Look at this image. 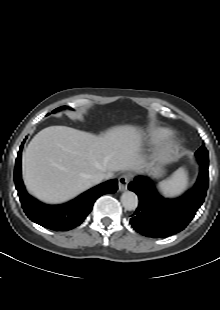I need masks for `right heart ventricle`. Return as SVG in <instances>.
<instances>
[{"label":"right heart ventricle","mask_w":220,"mask_h":310,"mask_svg":"<svg viewBox=\"0 0 220 310\" xmlns=\"http://www.w3.org/2000/svg\"><path fill=\"white\" fill-rule=\"evenodd\" d=\"M171 133L166 129H154L149 132V137L153 142H162L169 138Z\"/></svg>","instance_id":"obj_1"}]
</instances>
